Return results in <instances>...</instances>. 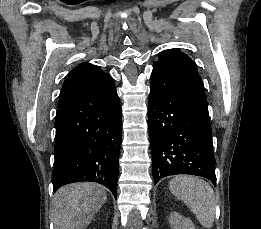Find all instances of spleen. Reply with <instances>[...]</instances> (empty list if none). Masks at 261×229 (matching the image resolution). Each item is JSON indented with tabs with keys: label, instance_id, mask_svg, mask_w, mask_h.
<instances>
[{
	"label": "spleen",
	"instance_id": "obj_1",
	"mask_svg": "<svg viewBox=\"0 0 261 229\" xmlns=\"http://www.w3.org/2000/svg\"><path fill=\"white\" fill-rule=\"evenodd\" d=\"M169 189L176 199L183 201L196 215L202 227L211 229L215 219L216 205L215 193L209 183L199 177L178 175L170 181Z\"/></svg>",
	"mask_w": 261,
	"mask_h": 229
}]
</instances>
